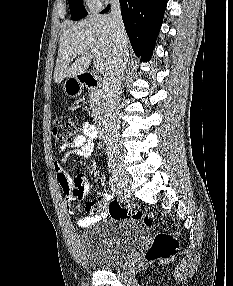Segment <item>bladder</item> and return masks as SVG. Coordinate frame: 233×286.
<instances>
[{
    "label": "bladder",
    "mask_w": 233,
    "mask_h": 286,
    "mask_svg": "<svg viewBox=\"0 0 233 286\" xmlns=\"http://www.w3.org/2000/svg\"><path fill=\"white\" fill-rule=\"evenodd\" d=\"M145 233L144 224L130 218L99 225L80 238L83 259L97 270L120 269L131 260Z\"/></svg>",
    "instance_id": "31cf9c89"
}]
</instances>
